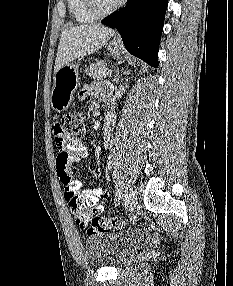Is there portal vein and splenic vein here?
<instances>
[{
	"label": "portal vein and splenic vein",
	"mask_w": 233,
	"mask_h": 286,
	"mask_svg": "<svg viewBox=\"0 0 233 286\" xmlns=\"http://www.w3.org/2000/svg\"><path fill=\"white\" fill-rule=\"evenodd\" d=\"M102 72H103V74H105V75H111V73H112V71L109 70V69H104Z\"/></svg>",
	"instance_id": "portal-vein-and-splenic-vein-1"
}]
</instances>
